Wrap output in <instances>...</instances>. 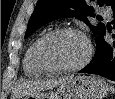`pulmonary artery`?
Masks as SVG:
<instances>
[{
	"instance_id": "e3ab8cb5",
	"label": "pulmonary artery",
	"mask_w": 115,
	"mask_h": 99,
	"mask_svg": "<svg viewBox=\"0 0 115 99\" xmlns=\"http://www.w3.org/2000/svg\"><path fill=\"white\" fill-rule=\"evenodd\" d=\"M102 13L104 16L109 17L111 15V11L109 9H103Z\"/></svg>"
}]
</instances>
